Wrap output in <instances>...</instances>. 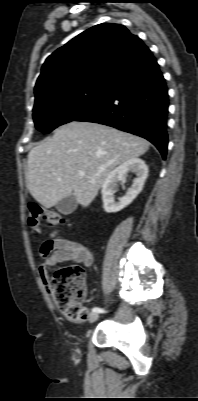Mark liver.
<instances>
[{
    "label": "liver",
    "instance_id": "obj_1",
    "mask_svg": "<svg viewBox=\"0 0 198 401\" xmlns=\"http://www.w3.org/2000/svg\"><path fill=\"white\" fill-rule=\"evenodd\" d=\"M149 145L139 136L109 126L72 121L30 150L27 188L46 208L70 194L87 207L112 170L146 153ZM79 171L85 176L80 177Z\"/></svg>",
    "mask_w": 198,
    "mask_h": 401
}]
</instances>
